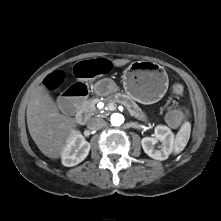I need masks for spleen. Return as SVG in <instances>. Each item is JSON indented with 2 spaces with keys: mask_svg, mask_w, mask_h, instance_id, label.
<instances>
[{
  "mask_svg": "<svg viewBox=\"0 0 221 221\" xmlns=\"http://www.w3.org/2000/svg\"><path fill=\"white\" fill-rule=\"evenodd\" d=\"M191 133V124L189 122H185L179 132L176 134L175 142H174V153L179 154L186 147L188 140L190 138Z\"/></svg>",
  "mask_w": 221,
  "mask_h": 221,
  "instance_id": "spleen-1",
  "label": "spleen"
}]
</instances>
